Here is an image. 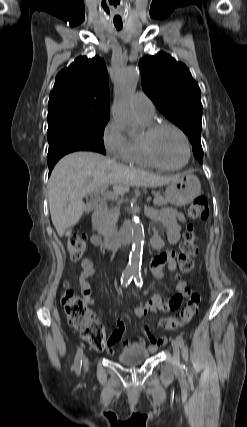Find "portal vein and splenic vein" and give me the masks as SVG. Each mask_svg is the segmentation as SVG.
I'll return each instance as SVG.
<instances>
[{
	"label": "portal vein and splenic vein",
	"instance_id": "18ae733b",
	"mask_svg": "<svg viewBox=\"0 0 247 427\" xmlns=\"http://www.w3.org/2000/svg\"><path fill=\"white\" fill-rule=\"evenodd\" d=\"M95 193L97 195H102L104 198H109V199H117L119 197V195H120L119 192H113V193L112 192H108V191L105 190L104 187L96 190ZM151 199L152 198L150 196H148L146 200H147V202H150Z\"/></svg>",
	"mask_w": 247,
	"mask_h": 427
}]
</instances>
